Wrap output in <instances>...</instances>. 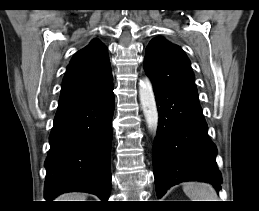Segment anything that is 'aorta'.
Segmentation results:
<instances>
[{
  "mask_svg": "<svg viewBox=\"0 0 259 211\" xmlns=\"http://www.w3.org/2000/svg\"><path fill=\"white\" fill-rule=\"evenodd\" d=\"M139 98L147 126L150 131L156 132L158 128L159 114L153 86L148 78L143 79L139 83Z\"/></svg>",
  "mask_w": 259,
  "mask_h": 211,
  "instance_id": "obj_1",
  "label": "aorta"
}]
</instances>
